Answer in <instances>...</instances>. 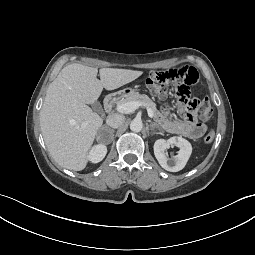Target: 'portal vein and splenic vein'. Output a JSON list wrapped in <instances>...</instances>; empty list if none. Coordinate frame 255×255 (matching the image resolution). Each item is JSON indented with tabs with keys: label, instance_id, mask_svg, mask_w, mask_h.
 Instances as JSON below:
<instances>
[{
	"label": "portal vein and splenic vein",
	"instance_id": "18ae733b",
	"mask_svg": "<svg viewBox=\"0 0 255 255\" xmlns=\"http://www.w3.org/2000/svg\"><path fill=\"white\" fill-rule=\"evenodd\" d=\"M140 106H142V104L138 101H132V102H127V103H122V104H118L116 106V110L119 112V113H122V114H129V113H132L134 112L136 109H138ZM147 113H148V116L150 118H153V111L147 107Z\"/></svg>",
	"mask_w": 255,
	"mask_h": 255
}]
</instances>
